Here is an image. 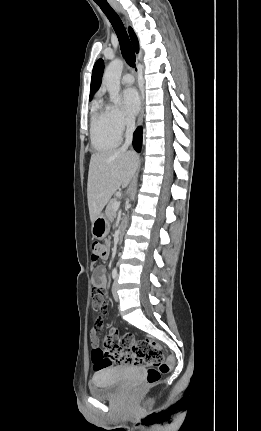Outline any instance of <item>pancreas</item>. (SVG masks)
<instances>
[{"mask_svg": "<svg viewBox=\"0 0 261 431\" xmlns=\"http://www.w3.org/2000/svg\"><path fill=\"white\" fill-rule=\"evenodd\" d=\"M115 202H118L117 199H111L106 207V216L110 221H113L116 213H115V209L113 208V204Z\"/></svg>", "mask_w": 261, "mask_h": 431, "instance_id": "cf45deb5", "label": "pancreas"}]
</instances>
